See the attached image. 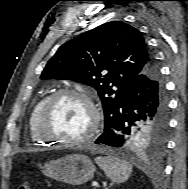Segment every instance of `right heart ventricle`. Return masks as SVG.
I'll use <instances>...</instances> for the list:
<instances>
[{"instance_id":"e07e8e85","label":"right heart ventricle","mask_w":188,"mask_h":189,"mask_svg":"<svg viewBox=\"0 0 188 189\" xmlns=\"http://www.w3.org/2000/svg\"><path fill=\"white\" fill-rule=\"evenodd\" d=\"M49 97V95H46L42 98H40L32 107L30 114H29V119H28V131H29V136L30 140L37 145H45L47 142L41 140L37 133H36V120L38 117V114L45 102V100Z\"/></svg>"}]
</instances>
